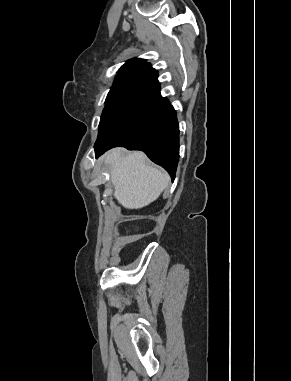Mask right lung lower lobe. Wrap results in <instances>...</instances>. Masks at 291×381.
Here are the masks:
<instances>
[{
    "mask_svg": "<svg viewBox=\"0 0 291 381\" xmlns=\"http://www.w3.org/2000/svg\"><path fill=\"white\" fill-rule=\"evenodd\" d=\"M158 73L145 75L120 124V136L115 142H96V157L106 150L124 146L141 150L162 166L174 180L179 160V126L176 112L160 95Z\"/></svg>",
    "mask_w": 291,
    "mask_h": 381,
    "instance_id": "obj_1",
    "label": "right lung lower lobe"
}]
</instances>
